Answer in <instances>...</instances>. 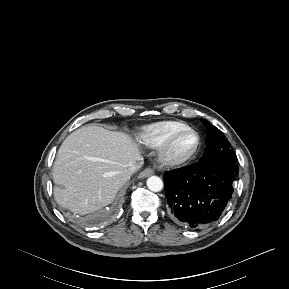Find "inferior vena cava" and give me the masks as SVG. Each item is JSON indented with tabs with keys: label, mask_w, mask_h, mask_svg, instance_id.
Here are the masks:
<instances>
[{
	"label": "inferior vena cava",
	"mask_w": 289,
	"mask_h": 289,
	"mask_svg": "<svg viewBox=\"0 0 289 289\" xmlns=\"http://www.w3.org/2000/svg\"><path fill=\"white\" fill-rule=\"evenodd\" d=\"M141 162L139 164L136 165H130L128 168L125 169L124 173L127 176H130L131 174L135 173L141 166Z\"/></svg>",
	"instance_id": "1"
}]
</instances>
